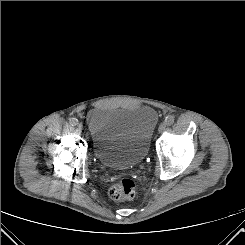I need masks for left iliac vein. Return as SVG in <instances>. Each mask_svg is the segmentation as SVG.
<instances>
[{
    "label": "left iliac vein",
    "mask_w": 245,
    "mask_h": 245,
    "mask_svg": "<svg viewBox=\"0 0 245 245\" xmlns=\"http://www.w3.org/2000/svg\"><path fill=\"white\" fill-rule=\"evenodd\" d=\"M165 129H166V124L165 123H161L159 125L158 131H159V133H162V132L165 131Z\"/></svg>",
    "instance_id": "4c4485c4"
}]
</instances>
